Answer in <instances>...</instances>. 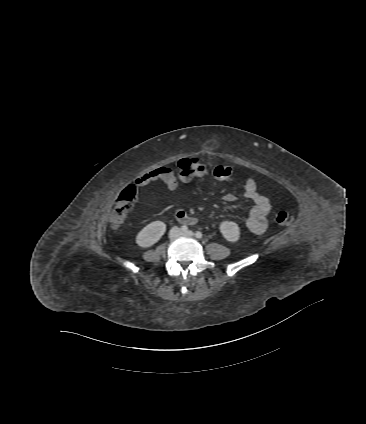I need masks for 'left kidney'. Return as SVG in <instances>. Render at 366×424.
<instances>
[{
  "mask_svg": "<svg viewBox=\"0 0 366 424\" xmlns=\"http://www.w3.org/2000/svg\"><path fill=\"white\" fill-rule=\"evenodd\" d=\"M223 237L229 242H236L240 237L239 226L233 221H224L219 226Z\"/></svg>",
  "mask_w": 366,
  "mask_h": 424,
  "instance_id": "left-kidney-1",
  "label": "left kidney"
}]
</instances>
